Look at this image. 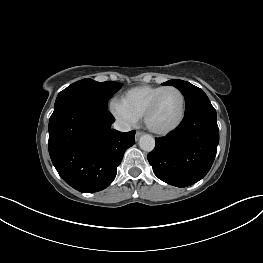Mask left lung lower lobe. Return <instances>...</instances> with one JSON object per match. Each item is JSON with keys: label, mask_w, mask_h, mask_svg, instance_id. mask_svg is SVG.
<instances>
[{"label": "left lung lower lobe", "mask_w": 263, "mask_h": 263, "mask_svg": "<svg viewBox=\"0 0 263 263\" xmlns=\"http://www.w3.org/2000/svg\"><path fill=\"white\" fill-rule=\"evenodd\" d=\"M219 129L211 103L188 112L176 130L156 138L148 154L154 174L162 181L186 187L201 180L210 170L217 152Z\"/></svg>", "instance_id": "left-lung-lower-lobe-1"}]
</instances>
